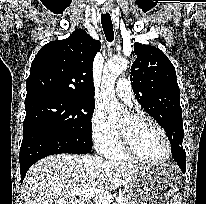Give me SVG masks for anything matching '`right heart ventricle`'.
<instances>
[{
    "instance_id": "right-heart-ventricle-1",
    "label": "right heart ventricle",
    "mask_w": 206,
    "mask_h": 204,
    "mask_svg": "<svg viewBox=\"0 0 206 204\" xmlns=\"http://www.w3.org/2000/svg\"><path fill=\"white\" fill-rule=\"evenodd\" d=\"M105 157L115 161H133L132 158L123 148L119 132L116 130V136L112 144L103 152Z\"/></svg>"
}]
</instances>
